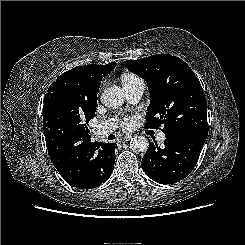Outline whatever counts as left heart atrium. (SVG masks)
I'll return each mask as SVG.
<instances>
[{
	"mask_svg": "<svg viewBox=\"0 0 245 245\" xmlns=\"http://www.w3.org/2000/svg\"><path fill=\"white\" fill-rule=\"evenodd\" d=\"M130 125V120L129 119H125L123 122H122V126L123 127H128Z\"/></svg>",
	"mask_w": 245,
	"mask_h": 245,
	"instance_id": "obj_1",
	"label": "left heart atrium"
}]
</instances>
